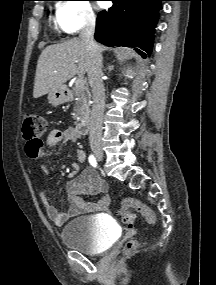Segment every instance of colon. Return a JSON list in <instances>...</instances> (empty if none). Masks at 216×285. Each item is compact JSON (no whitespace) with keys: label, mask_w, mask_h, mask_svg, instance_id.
Segmentation results:
<instances>
[{"label":"colon","mask_w":216,"mask_h":285,"mask_svg":"<svg viewBox=\"0 0 216 285\" xmlns=\"http://www.w3.org/2000/svg\"><path fill=\"white\" fill-rule=\"evenodd\" d=\"M48 129L47 119L39 113H28L24 117L22 126V135L26 142L27 154L35 158L41 154L43 150V136ZM135 212L142 214L147 223L155 225L156 215L144 203L135 198H125L120 204L118 210L122 221L127 225H132L135 221ZM138 246V242L130 240L123 247V253L128 254Z\"/></svg>","instance_id":"1"}]
</instances>
